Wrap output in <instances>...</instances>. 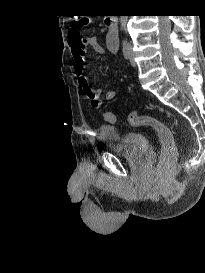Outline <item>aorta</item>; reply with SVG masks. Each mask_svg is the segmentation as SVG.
<instances>
[{"mask_svg":"<svg viewBox=\"0 0 205 273\" xmlns=\"http://www.w3.org/2000/svg\"><path fill=\"white\" fill-rule=\"evenodd\" d=\"M128 22V16H120V26L121 30L126 32V25Z\"/></svg>","mask_w":205,"mask_h":273,"instance_id":"762f6f07","label":"aorta"}]
</instances>
